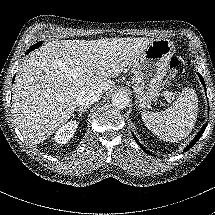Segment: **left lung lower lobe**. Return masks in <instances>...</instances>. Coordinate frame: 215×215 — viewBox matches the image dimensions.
Returning <instances> with one entry per match:
<instances>
[{
	"mask_svg": "<svg viewBox=\"0 0 215 215\" xmlns=\"http://www.w3.org/2000/svg\"><path fill=\"white\" fill-rule=\"evenodd\" d=\"M198 76H199V78H200V80H201V83L203 84V86H204L205 89H206V85H205V82H204L203 77H202L199 73H198ZM206 126H207V123L202 127V129H201V130L199 131V133L196 135V137L194 138V140L183 150V152H186L187 150H189V149L198 141V139L202 136L204 130L206 129ZM133 137H134L136 143H137L147 154L153 156V154H152L150 151L146 150V149L143 147V145H141V143L137 140V138H136L134 135H133Z\"/></svg>",
	"mask_w": 215,
	"mask_h": 215,
	"instance_id": "0a47b994",
	"label": "left lung lower lobe"
}]
</instances>
